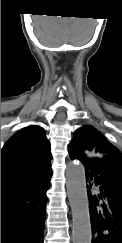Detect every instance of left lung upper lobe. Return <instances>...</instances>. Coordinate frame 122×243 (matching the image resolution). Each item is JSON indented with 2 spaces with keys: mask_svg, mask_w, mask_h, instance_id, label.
<instances>
[{
  "mask_svg": "<svg viewBox=\"0 0 122 243\" xmlns=\"http://www.w3.org/2000/svg\"><path fill=\"white\" fill-rule=\"evenodd\" d=\"M71 159L82 161L87 159H103L106 156H116L122 159L121 152L113 146L103 134L92 126L79 128L69 144Z\"/></svg>",
  "mask_w": 122,
  "mask_h": 243,
  "instance_id": "1",
  "label": "left lung upper lobe"
}]
</instances>
